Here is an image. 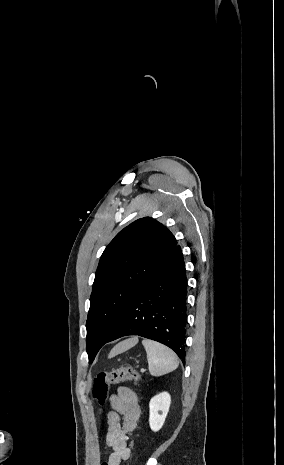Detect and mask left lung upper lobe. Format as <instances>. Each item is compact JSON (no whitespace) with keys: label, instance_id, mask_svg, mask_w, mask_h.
<instances>
[{"label":"left lung upper lobe","instance_id":"left-lung-upper-lobe-1","mask_svg":"<svg viewBox=\"0 0 284 465\" xmlns=\"http://www.w3.org/2000/svg\"><path fill=\"white\" fill-rule=\"evenodd\" d=\"M177 245L174 235L144 217L121 230L105 248L95 274L86 328L92 363L125 308Z\"/></svg>","mask_w":284,"mask_h":465}]
</instances>
